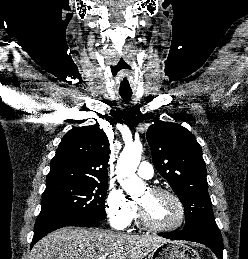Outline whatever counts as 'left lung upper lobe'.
Instances as JSON below:
<instances>
[{
  "instance_id": "5c2ea615",
  "label": "left lung upper lobe",
  "mask_w": 248,
  "mask_h": 259,
  "mask_svg": "<svg viewBox=\"0 0 248 259\" xmlns=\"http://www.w3.org/2000/svg\"><path fill=\"white\" fill-rule=\"evenodd\" d=\"M153 163L185 207L184 230L216 223L206 164L194 135L176 123L157 121L147 130Z\"/></svg>"
}]
</instances>
